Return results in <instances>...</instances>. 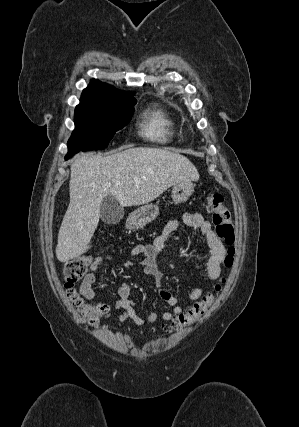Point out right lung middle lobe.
I'll use <instances>...</instances> for the list:
<instances>
[{
  "mask_svg": "<svg viewBox=\"0 0 299 427\" xmlns=\"http://www.w3.org/2000/svg\"><path fill=\"white\" fill-rule=\"evenodd\" d=\"M134 98L111 102H80L75 109V130L67 145L68 154L104 149L116 131L131 119Z\"/></svg>",
  "mask_w": 299,
  "mask_h": 427,
  "instance_id": "right-lung-middle-lobe-1",
  "label": "right lung middle lobe"
}]
</instances>
